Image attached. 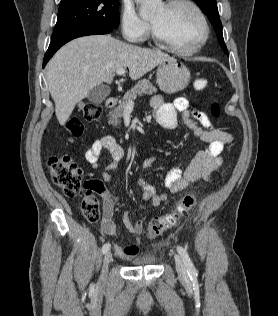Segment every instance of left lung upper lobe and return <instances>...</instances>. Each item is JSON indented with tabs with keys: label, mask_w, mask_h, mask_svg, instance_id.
<instances>
[{
	"label": "left lung upper lobe",
	"mask_w": 278,
	"mask_h": 316,
	"mask_svg": "<svg viewBox=\"0 0 278 316\" xmlns=\"http://www.w3.org/2000/svg\"><path fill=\"white\" fill-rule=\"evenodd\" d=\"M195 2L199 5L201 10L207 15L211 24L214 26V29L218 36V40L222 48L224 49L225 53H227V48L224 43L222 34V23L219 18L216 0H195Z\"/></svg>",
	"instance_id": "5c2ea615"
}]
</instances>
